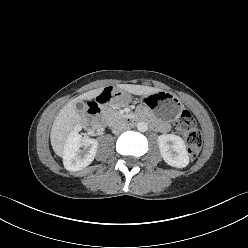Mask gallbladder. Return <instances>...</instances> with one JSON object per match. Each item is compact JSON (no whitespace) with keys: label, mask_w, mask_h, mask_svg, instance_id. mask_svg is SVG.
<instances>
[{"label":"gallbladder","mask_w":248,"mask_h":248,"mask_svg":"<svg viewBox=\"0 0 248 248\" xmlns=\"http://www.w3.org/2000/svg\"><path fill=\"white\" fill-rule=\"evenodd\" d=\"M76 107H77V109H78L79 111H83L84 108H85V104H84V102L79 101V102L76 104Z\"/></svg>","instance_id":"obj_1"}]
</instances>
